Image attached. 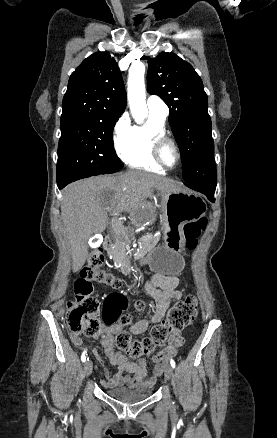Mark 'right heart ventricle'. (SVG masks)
I'll return each mask as SVG.
<instances>
[{"instance_id":"right-heart-ventricle-1","label":"right heart ventricle","mask_w":277,"mask_h":438,"mask_svg":"<svg viewBox=\"0 0 277 438\" xmlns=\"http://www.w3.org/2000/svg\"><path fill=\"white\" fill-rule=\"evenodd\" d=\"M165 133V120L155 118L150 114L142 125L129 124L128 135L118 147L121 159L132 169L164 174V169L156 163L153 157L152 139Z\"/></svg>"}]
</instances>
